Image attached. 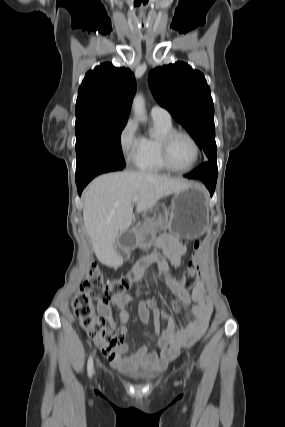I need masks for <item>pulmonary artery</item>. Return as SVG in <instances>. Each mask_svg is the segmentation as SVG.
<instances>
[{"label":"pulmonary artery","instance_id":"obj_1","mask_svg":"<svg viewBox=\"0 0 285 427\" xmlns=\"http://www.w3.org/2000/svg\"><path fill=\"white\" fill-rule=\"evenodd\" d=\"M150 114L153 119L162 120L166 122L171 121V114L169 113V111L159 105H154L151 108Z\"/></svg>","mask_w":285,"mask_h":427}]
</instances>
